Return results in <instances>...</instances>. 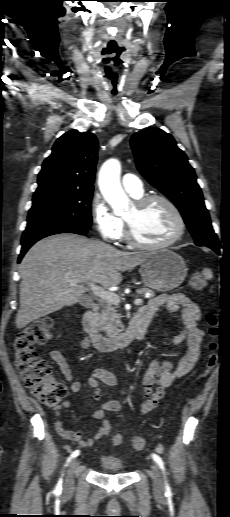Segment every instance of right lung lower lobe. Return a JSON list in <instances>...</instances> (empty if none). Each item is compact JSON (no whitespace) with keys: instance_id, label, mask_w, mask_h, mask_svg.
<instances>
[{"instance_id":"obj_1","label":"right lung lower lobe","mask_w":230,"mask_h":517,"mask_svg":"<svg viewBox=\"0 0 230 517\" xmlns=\"http://www.w3.org/2000/svg\"><path fill=\"white\" fill-rule=\"evenodd\" d=\"M87 232L88 228L64 222L46 223L32 227H27L23 232L21 238L22 249L19 255L18 262L21 261L24 254L34 243H36L38 240L44 237L59 233H75L85 235Z\"/></svg>"}]
</instances>
